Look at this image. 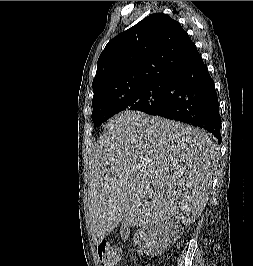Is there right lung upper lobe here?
Returning <instances> with one entry per match:
<instances>
[{"mask_svg":"<svg viewBox=\"0 0 253 266\" xmlns=\"http://www.w3.org/2000/svg\"><path fill=\"white\" fill-rule=\"evenodd\" d=\"M199 56L178 21L163 13L151 14L106 45L92 84V105L152 82L166 81Z\"/></svg>","mask_w":253,"mask_h":266,"instance_id":"1","label":"right lung upper lobe"}]
</instances>
